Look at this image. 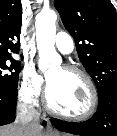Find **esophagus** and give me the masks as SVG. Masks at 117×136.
Wrapping results in <instances>:
<instances>
[{
  "instance_id": "34e87169",
  "label": "esophagus",
  "mask_w": 117,
  "mask_h": 136,
  "mask_svg": "<svg viewBox=\"0 0 117 136\" xmlns=\"http://www.w3.org/2000/svg\"><path fill=\"white\" fill-rule=\"evenodd\" d=\"M46 132L50 136L55 135V133H56L49 122H48V125H47Z\"/></svg>"
}]
</instances>
